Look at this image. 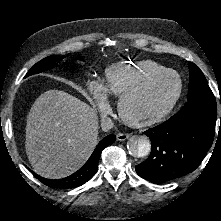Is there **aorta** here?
<instances>
[{"label": "aorta", "mask_w": 221, "mask_h": 221, "mask_svg": "<svg viewBox=\"0 0 221 221\" xmlns=\"http://www.w3.org/2000/svg\"><path fill=\"white\" fill-rule=\"evenodd\" d=\"M127 149L133 157L142 158L151 150V142L146 136L132 137L128 140Z\"/></svg>", "instance_id": "762f6f07"}]
</instances>
